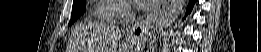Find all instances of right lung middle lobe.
Listing matches in <instances>:
<instances>
[{"instance_id":"dd1d6c3e","label":"right lung middle lobe","mask_w":261,"mask_h":52,"mask_svg":"<svg viewBox=\"0 0 261 52\" xmlns=\"http://www.w3.org/2000/svg\"><path fill=\"white\" fill-rule=\"evenodd\" d=\"M85 9V0H77L73 2L72 15L68 26L73 24L76 21V19L85 11Z\"/></svg>"}]
</instances>
